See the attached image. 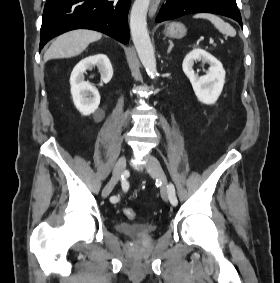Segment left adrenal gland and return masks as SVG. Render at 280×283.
Masks as SVG:
<instances>
[{"mask_svg": "<svg viewBox=\"0 0 280 283\" xmlns=\"http://www.w3.org/2000/svg\"><path fill=\"white\" fill-rule=\"evenodd\" d=\"M173 47H174L173 42L169 40V47H168L167 53H170Z\"/></svg>", "mask_w": 280, "mask_h": 283, "instance_id": "1", "label": "left adrenal gland"}]
</instances>
